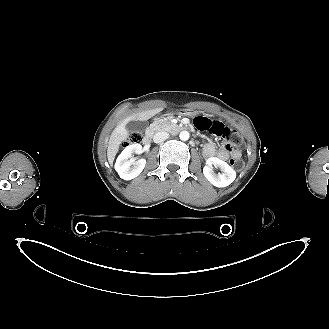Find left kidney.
<instances>
[{
    "label": "left kidney",
    "mask_w": 329,
    "mask_h": 329,
    "mask_svg": "<svg viewBox=\"0 0 329 329\" xmlns=\"http://www.w3.org/2000/svg\"><path fill=\"white\" fill-rule=\"evenodd\" d=\"M219 168L221 173L216 174L213 167ZM205 178L216 187H226L236 178L235 170L226 162L216 157H210L203 168Z\"/></svg>",
    "instance_id": "left-kidney-1"
}]
</instances>
